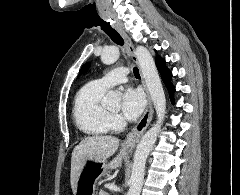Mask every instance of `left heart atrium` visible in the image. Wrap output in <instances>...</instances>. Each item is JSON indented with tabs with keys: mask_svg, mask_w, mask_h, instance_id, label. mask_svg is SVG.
I'll return each instance as SVG.
<instances>
[{
	"mask_svg": "<svg viewBox=\"0 0 240 195\" xmlns=\"http://www.w3.org/2000/svg\"><path fill=\"white\" fill-rule=\"evenodd\" d=\"M145 108V97L141 90L129 88L123 95L122 111L130 120L137 119Z\"/></svg>",
	"mask_w": 240,
	"mask_h": 195,
	"instance_id": "left-heart-atrium-1",
	"label": "left heart atrium"
}]
</instances>
